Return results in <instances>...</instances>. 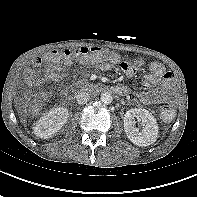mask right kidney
<instances>
[{"instance_id": "right-kidney-1", "label": "right kidney", "mask_w": 197, "mask_h": 197, "mask_svg": "<svg viewBox=\"0 0 197 197\" xmlns=\"http://www.w3.org/2000/svg\"><path fill=\"white\" fill-rule=\"evenodd\" d=\"M69 117L65 107H56L45 113L35 124L34 134L42 139H48L58 132Z\"/></svg>"}]
</instances>
